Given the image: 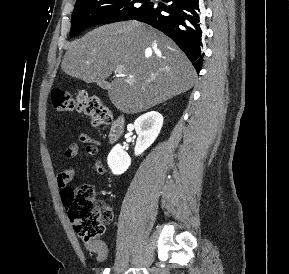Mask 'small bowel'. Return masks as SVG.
Here are the masks:
<instances>
[{
	"mask_svg": "<svg viewBox=\"0 0 289 274\" xmlns=\"http://www.w3.org/2000/svg\"><path fill=\"white\" fill-rule=\"evenodd\" d=\"M78 140L80 143H71L64 151V156L68 159L75 158L81 152H84L90 156H96L98 154V147L96 140L85 133L78 134ZM95 170L99 174H105L107 172L106 166L100 161L95 160ZM75 174V168L73 166L65 169L57 175L56 183L60 188H65L73 179ZM85 247L90 254L96 256L99 262L106 260L108 256V247L102 240H94L85 243Z\"/></svg>",
	"mask_w": 289,
	"mask_h": 274,
	"instance_id": "obj_1",
	"label": "small bowel"
}]
</instances>
